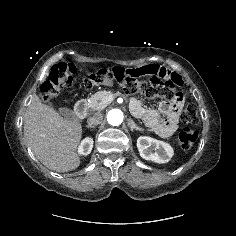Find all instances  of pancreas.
<instances>
[{
	"label": "pancreas",
	"mask_w": 236,
	"mask_h": 236,
	"mask_svg": "<svg viewBox=\"0 0 236 236\" xmlns=\"http://www.w3.org/2000/svg\"><path fill=\"white\" fill-rule=\"evenodd\" d=\"M120 95V93H112L111 91H99L96 92L94 95L91 96L90 101L88 103L89 107L93 110H100L106 107L109 103L107 102V98L109 96H116Z\"/></svg>",
	"instance_id": "obj_1"
}]
</instances>
